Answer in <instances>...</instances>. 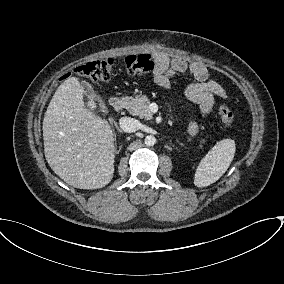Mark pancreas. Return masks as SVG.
Instances as JSON below:
<instances>
[{
    "mask_svg": "<svg viewBox=\"0 0 284 284\" xmlns=\"http://www.w3.org/2000/svg\"><path fill=\"white\" fill-rule=\"evenodd\" d=\"M124 108L127 109L132 115L140 119L151 120L153 114L150 110V99L146 95H136L134 97H124ZM200 143H205V140H200ZM202 147V145H200Z\"/></svg>",
    "mask_w": 284,
    "mask_h": 284,
    "instance_id": "1",
    "label": "pancreas"
}]
</instances>
